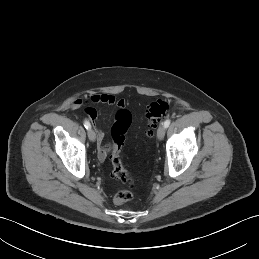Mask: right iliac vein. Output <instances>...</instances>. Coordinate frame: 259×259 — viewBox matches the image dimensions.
Wrapping results in <instances>:
<instances>
[{
  "instance_id": "obj_1",
  "label": "right iliac vein",
  "mask_w": 259,
  "mask_h": 259,
  "mask_svg": "<svg viewBox=\"0 0 259 259\" xmlns=\"http://www.w3.org/2000/svg\"><path fill=\"white\" fill-rule=\"evenodd\" d=\"M88 138H89L92 142H94V141L96 140V134H95L94 130L91 129V128L88 130Z\"/></svg>"
}]
</instances>
